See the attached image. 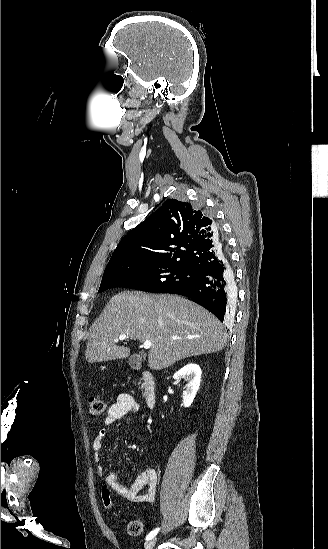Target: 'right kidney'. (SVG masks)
<instances>
[{
	"instance_id": "obj_1",
	"label": "right kidney",
	"mask_w": 328,
	"mask_h": 549,
	"mask_svg": "<svg viewBox=\"0 0 328 549\" xmlns=\"http://www.w3.org/2000/svg\"><path fill=\"white\" fill-rule=\"evenodd\" d=\"M201 373L202 371L199 365L188 363V365H185V367H182L180 371H177V373L173 375V379H175L176 383H179L180 379L188 381L187 385H185L186 391L183 393L184 407H190L191 403H193L199 389Z\"/></svg>"
}]
</instances>
